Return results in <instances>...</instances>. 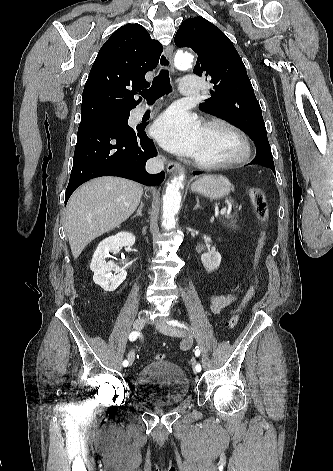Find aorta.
<instances>
[{
	"mask_svg": "<svg viewBox=\"0 0 333 471\" xmlns=\"http://www.w3.org/2000/svg\"><path fill=\"white\" fill-rule=\"evenodd\" d=\"M193 56L188 53H179L175 58V66L180 70H186L191 67ZM184 174L174 177L167 184L166 193L163 197V215L162 226L166 230L175 227V216L180 209L181 193L180 188L183 187Z\"/></svg>",
	"mask_w": 333,
	"mask_h": 471,
	"instance_id": "1",
	"label": "aorta"
}]
</instances>
